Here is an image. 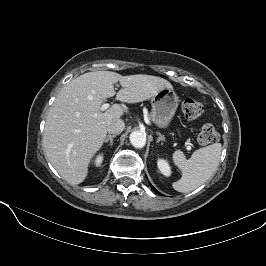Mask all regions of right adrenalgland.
I'll return each mask as SVG.
<instances>
[{
    "mask_svg": "<svg viewBox=\"0 0 266 266\" xmlns=\"http://www.w3.org/2000/svg\"><path fill=\"white\" fill-rule=\"evenodd\" d=\"M115 137H116L115 134H114V135H108L107 138L104 140V142H105V143L110 142V145H111V147H112V145H113V138H115Z\"/></svg>",
    "mask_w": 266,
    "mask_h": 266,
    "instance_id": "right-adrenal-gland-1",
    "label": "right adrenal gland"
}]
</instances>
